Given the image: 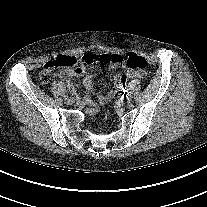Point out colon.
I'll use <instances>...</instances> for the list:
<instances>
[{
	"label": "colon",
	"mask_w": 207,
	"mask_h": 207,
	"mask_svg": "<svg viewBox=\"0 0 207 207\" xmlns=\"http://www.w3.org/2000/svg\"><path fill=\"white\" fill-rule=\"evenodd\" d=\"M94 62H103L107 64H120L123 63L125 67L137 70L139 72L144 71L147 68L146 60L136 54H128L124 59L117 54H86L80 60L70 55H59L56 58L48 61L41 73L40 79L42 83H48L51 78V72L56 69H65L70 73L75 72L79 63L91 64Z\"/></svg>",
	"instance_id": "obj_1"
}]
</instances>
